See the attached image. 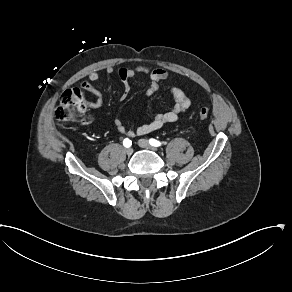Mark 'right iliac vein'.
<instances>
[{
	"instance_id": "right-iliac-vein-1",
	"label": "right iliac vein",
	"mask_w": 292,
	"mask_h": 292,
	"mask_svg": "<svg viewBox=\"0 0 292 292\" xmlns=\"http://www.w3.org/2000/svg\"><path fill=\"white\" fill-rule=\"evenodd\" d=\"M125 153H126L127 155H131V154L133 153V148H131V147L126 148V149H125Z\"/></svg>"
}]
</instances>
